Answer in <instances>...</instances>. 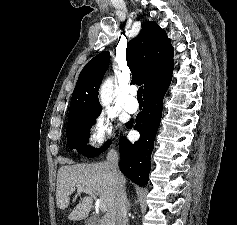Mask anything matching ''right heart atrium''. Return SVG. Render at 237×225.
<instances>
[{
  "label": "right heart atrium",
  "instance_id": "1",
  "mask_svg": "<svg viewBox=\"0 0 237 225\" xmlns=\"http://www.w3.org/2000/svg\"><path fill=\"white\" fill-rule=\"evenodd\" d=\"M115 134V126L112 120L99 115L90 123L86 133V144L90 148H98L110 143Z\"/></svg>",
  "mask_w": 237,
  "mask_h": 225
}]
</instances>
